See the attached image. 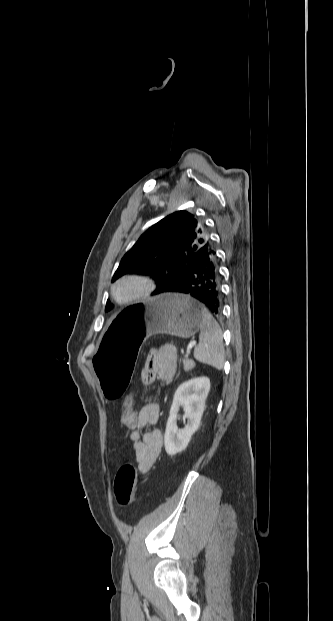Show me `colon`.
<instances>
[{
    "mask_svg": "<svg viewBox=\"0 0 333 621\" xmlns=\"http://www.w3.org/2000/svg\"><path fill=\"white\" fill-rule=\"evenodd\" d=\"M139 411L135 408L132 395L128 396L123 404L121 411V422L127 428H132L137 424ZM137 484V474L135 467L126 463L122 465L116 473L114 492L115 498L120 506L131 504L134 499Z\"/></svg>",
    "mask_w": 333,
    "mask_h": 621,
    "instance_id": "colon-1",
    "label": "colon"
}]
</instances>
